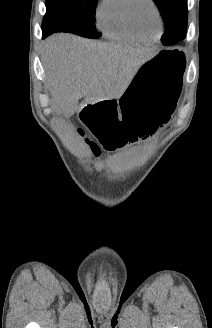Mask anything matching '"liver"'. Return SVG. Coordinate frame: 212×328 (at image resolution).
I'll return each instance as SVG.
<instances>
[{"label":"liver","mask_w":212,"mask_h":328,"mask_svg":"<svg viewBox=\"0 0 212 328\" xmlns=\"http://www.w3.org/2000/svg\"><path fill=\"white\" fill-rule=\"evenodd\" d=\"M44 66L51 82L52 106L71 116L80 98L86 102L119 99L150 49L102 43L58 34L46 42Z\"/></svg>","instance_id":"6515ba94"}]
</instances>
